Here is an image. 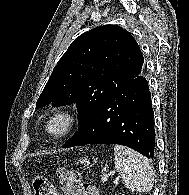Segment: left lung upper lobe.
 I'll use <instances>...</instances> for the list:
<instances>
[{"mask_svg":"<svg viewBox=\"0 0 189 195\" xmlns=\"http://www.w3.org/2000/svg\"><path fill=\"white\" fill-rule=\"evenodd\" d=\"M143 61L127 30L117 25L96 27L72 42L53 69L36 107L76 103L82 125L111 93L141 75Z\"/></svg>","mask_w":189,"mask_h":195,"instance_id":"5c2ea615","label":"left lung upper lobe"}]
</instances>
